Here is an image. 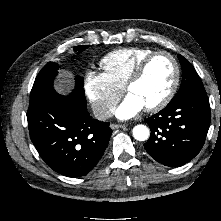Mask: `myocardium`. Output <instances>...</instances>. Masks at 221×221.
Instances as JSON below:
<instances>
[{
	"mask_svg": "<svg viewBox=\"0 0 221 221\" xmlns=\"http://www.w3.org/2000/svg\"><path fill=\"white\" fill-rule=\"evenodd\" d=\"M159 55H165L172 61V64L174 67V76H173L171 86H170L169 90L167 91V93L165 94V96L157 103L145 107V109L149 112H156V111L163 109L165 106H167L169 104V102L173 99L174 95L176 94V91L178 89L179 82H180V75H181L180 65H179L176 57L173 54H171L170 52L165 51V50L153 51L152 53H150L146 57H144L137 64L136 68L134 69L133 73L131 74V76L129 77L128 81L126 82V84L124 86L125 91L128 92L129 89L131 88V86H133L135 83H137L143 77L145 70H146L147 66L149 65V63L155 57H157Z\"/></svg>",
	"mask_w": 221,
	"mask_h": 221,
	"instance_id": "myocardium-1",
	"label": "myocardium"
}]
</instances>
